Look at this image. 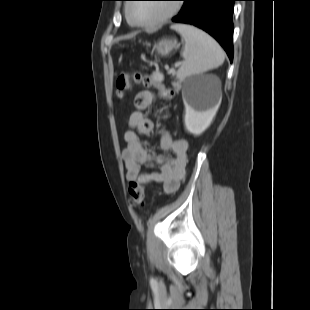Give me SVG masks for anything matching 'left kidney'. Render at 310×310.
Wrapping results in <instances>:
<instances>
[{"label": "left kidney", "instance_id": "obj_1", "mask_svg": "<svg viewBox=\"0 0 310 310\" xmlns=\"http://www.w3.org/2000/svg\"><path fill=\"white\" fill-rule=\"evenodd\" d=\"M186 130L196 136L201 135L212 123L217 109H199L191 104L188 97L184 98Z\"/></svg>", "mask_w": 310, "mask_h": 310}]
</instances>
